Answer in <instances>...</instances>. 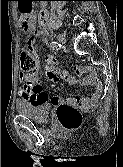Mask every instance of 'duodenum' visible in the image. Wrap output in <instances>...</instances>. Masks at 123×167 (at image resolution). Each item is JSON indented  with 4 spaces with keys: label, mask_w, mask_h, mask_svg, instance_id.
I'll use <instances>...</instances> for the list:
<instances>
[{
    "label": "duodenum",
    "mask_w": 123,
    "mask_h": 167,
    "mask_svg": "<svg viewBox=\"0 0 123 167\" xmlns=\"http://www.w3.org/2000/svg\"><path fill=\"white\" fill-rule=\"evenodd\" d=\"M49 14L46 10H42L40 13V23L42 26L46 27L48 25Z\"/></svg>",
    "instance_id": "410a0bca"
}]
</instances>
